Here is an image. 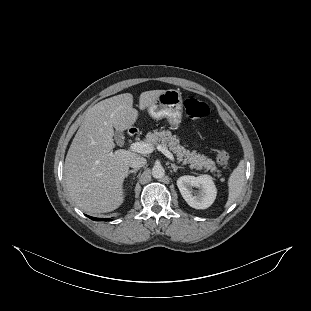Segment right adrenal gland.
I'll use <instances>...</instances> for the list:
<instances>
[{"instance_id":"obj_1","label":"right adrenal gland","mask_w":311,"mask_h":311,"mask_svg":"<svg viewBox=\"0 0 311 311\" xmlns=\"http://www.w3.org/2000/svg\"><path fill=\"white\" fill-rule=\"evenodd\" d=\"M138 170H139V168L128 171V173H127V175H126V178H127L131 173H134V174L136 175V173H137ZM133 180H135V177H133Z\"/></svg>"}]
</instances>
